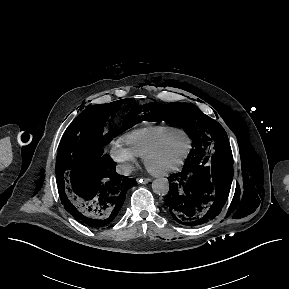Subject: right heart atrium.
<instances>
[{
	"label": "right heart atrium",
	"mask_w": 289,
	"mask_h": 289,
	"mask_svg": "<svg viewBox=\"0 0 289 289\" xmlns=\"http://www.w3.org/2000/svg\"><path fill=\"white\" fill-rule=\"evenodd\" d=\"M110 157L120 172L127 174L136 162V156L119 142H115L110 151Z\"/></svg>",
	"instance_id": "1"
}]
</instances>
